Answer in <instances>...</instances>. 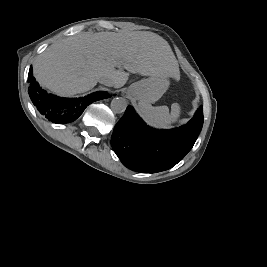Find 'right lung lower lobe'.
Wrapping results in <instances>:
<instances>
[{"label":"right lung lower lobe","mask_w":267,"mask_h":267,"mask_svg":"<svg viewBox=\"0 0 267 267\" xmlns=\"http://www.w3.org/2000/svg\"><path fill=\"white\" fill-rule=\"evenodd\" d=\"M29 70V96L37 110L48 120L65 124L76 120L91 103L110 97L104 92H96L83 98H61L48 94L40 88Z\"/></svg>","instance_id":"obj_1"}]
</instances>
